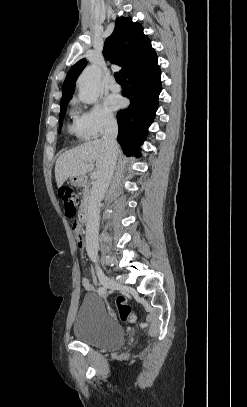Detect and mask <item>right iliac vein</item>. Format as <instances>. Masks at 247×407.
I'll return each mask as SVG.
<instances>
[{
	"instance_id": "1",
	"label": "right iliac vein",
	"mask_w": 247,
	"mask_h": 407,
	"mask_svg": "<svg viewBox=\"0 0 247 407\" xmlns=\"http://www.w3.org/2000/svg\"><path fill=\"white\" fill-rule=\"evenodd\" d=\"M97 275H98V278H99L101 284L106 288L121 289V290H125V291L130 290V288L128 286L121 284V283L115 281L114 279L108 277L100 269H97Z\"/></svg>"
}]
</instances>
